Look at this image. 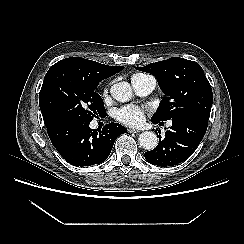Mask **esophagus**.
<instances>
[{"instance_id": "1", "label": "esophagus", "mask_w": 244, "mask_h": 244, "mask_svg": "<svg viewBox=\"0 0 244 244\" xmlns=\"http://www.w3.org/2000/svg\"><path fill=\"white\" fill-rule=\"evenodd\" d=\"M128 132H129V133H139L140 131H139V130H136V129H131V128H129V129H128Z\"/></svg>"}]
</instances>
